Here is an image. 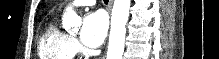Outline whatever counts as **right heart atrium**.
<instances>
[{"label":"right heart atrium","mask_w":219,"mask_h":59,"mask_svg":"<svg viewBox=\"0 0 219 59\" xmlns=\"http://www.w3.org/2000/svg\"><path fill=\"white\" fill-rule=\"evenodd\" d=\"M74 47H75L76 49H78V46H77V44H76V43H74Z\"/></svg>","instance_id":"obj_1"}]
</instances>
